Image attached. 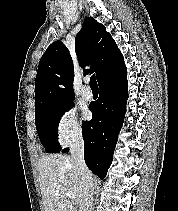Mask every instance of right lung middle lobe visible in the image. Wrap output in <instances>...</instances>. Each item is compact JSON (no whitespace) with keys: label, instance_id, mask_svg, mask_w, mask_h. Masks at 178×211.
I'll use <instances>...</instances> for the list:
<instances>
[{"label":"right lung middle lobe","instance_id":"right-lung-middle-lobe-1","mask_svg":"<svg viewBox=\"0 0 178 211\" xmlns=\"http://www.w3.org/2000/svg\"><path fill=\"white\" fill-rule=\"evenodd\" d=\"M73 106V101L57 103L35 114L37 132L47 153H56L59 150L57 148L58 134L56 129L58 128L61 116Z\"/></svg>","mask_w":178,"mask_h":211}]
</instances>
